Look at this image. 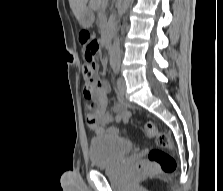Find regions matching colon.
I'll return each instance as SVG.
<instances>
[{
	"label": "colon",
	"instance_id": "5ec220e1",
	"mask_svg": "<svg viewBox=\"0 0 223 191\" xmlns=\"http://www.w3.org/2000/svg\"><path fill=\"white\" fill-rule=\"evenodd\" d=\"M84 46V57L86 63L82 66V75L86 83L91 84L95 78L96 58L99 53V42L96 37L88 32L82 34ZM112 134H119L115 128L110 131ZM145 132L148 137L154 138L157 144L156 148L148 152L147 160L139 161L135 165L137 173L146 174L159 171L163 174H172L176 170V161L166 150L172 148V142L169 135L157 130L156 125L149 121L145 124Z\"/></svg>",
	"mask_w": 223,
	"mask_h": 191
}]
</instances>
